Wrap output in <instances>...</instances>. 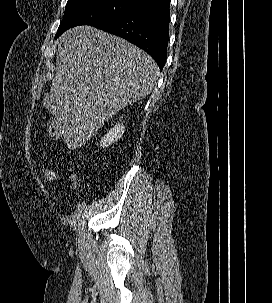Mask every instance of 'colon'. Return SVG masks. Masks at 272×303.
Returning a JSON list of instances; mask_svg holds the SVG:
<instances>
[{"label":"colon","mask_w":272,"mask_h":303,"mask_svg":"<svg viewBox=\"0 0 272 303\" xmlns=\"http://www.w3.org/2000/svg\"><path fill=\"white\" fill-rule=\"evenodd\" d=\"M47 132H48V136L51 139L56 140L59 138L60 132L58 129V123L55 119H51L49 121L48 126H47ZM41 176L45 181L51 182L57 178V173L53 167L44 166L41 169ZM71 180H72L73 192H74V194H77V191L79 188L77 177L75 175H72Z\"/></svg>","instance_id":"colon-1"}]
</instances>
